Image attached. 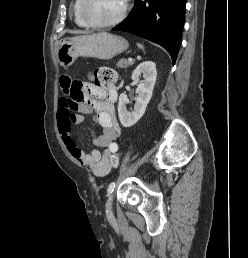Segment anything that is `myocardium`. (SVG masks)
Wrapping results in <instances>:
<instances>
[{
  "label": "myocardium",
  "instance_id": "obj_1",
  "mask_svg": "<svg viewBox=\"0 0 248 258\" xmlns=\"http://www.w3.org/2000/svg\"><path fill=\"white\" fill-rule=\"evenodd\" d=\"M128 1L129 0H123V5H122V8H121V11L119 12V14L115 18H113L109 21H106V22H93L87 17L85 10H84L85 0H79V12H80V15H81L83 21L89 27H93V28L111 27V26L117 25L125 18L127 11H128V7H129Z\"/></svg>",
  "mask_w": 248,
  "mask_h": 258
}]
</instances>
